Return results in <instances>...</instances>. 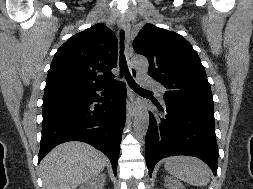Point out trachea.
I'll list each match as a JSON object with an SVG mask.
<instances>
[{
	"instance_id": "3493384b",
	"label": "trachea",
	"mask_w": 253,
	"mask_h": 189,
	"mask_svg": "<svg viewBox=\"0 0 253 189\" xmlns=\"http://www.w3.org/2000/svg\"><path fill=\"white\" fill-rule=\"evenodd\" d=\"M124 40H125V33L124 31L120 32V58H119V66H120V76L123 77L125 76V79L127 80L128 85L130 86V88L134 91H141V92H149L148 90H145L143 88H141L135 81L134 79L131 77L129 70H128V66H127V62H126V58L123 54L124 51Z\"/></svg>"
}]
</instances>
